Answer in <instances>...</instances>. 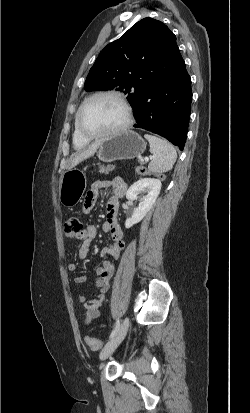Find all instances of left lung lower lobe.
I'll list each match as a JSON object with an SVG mask.
<instances>
[{"label":"left lung lower lobe","mask_w":250,"mask_h":413,"mask_svg":"<svg viewBox=\"0 0 250 413\" xmlns=\"http://www.w3.org/2000/svg\"><path fill=\"white\" fill-rule=\"evenodd\" d=\"M191 101V79L175 40L164 68L143 83L132 106L134 127L156 133L183 150Z\"/></svg>","instance_id":"left-lung-lower-lobe-1"}]
</instances>
